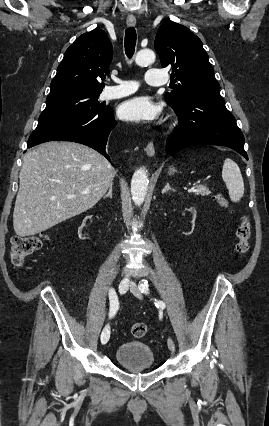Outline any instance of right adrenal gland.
Listing matches in <instances>:
<instances>
[{"mask_svg": "<svg viewBox=\"0 0 269 426\" xmlns=\"http://www.w3.org/2000/svg\"><path fill=\"white\" fill-rule=\"evenodd\" d=\"M112 192H113V184L110 185L109 187V191L107 192V194L104 196V198H112Z\"/></svg>", "mask_w": 269, "mask_h": 426, "instance_id": "2a0ac1e0", "label": "right adrenal gland"}]
</instances>
